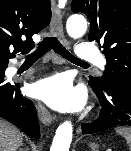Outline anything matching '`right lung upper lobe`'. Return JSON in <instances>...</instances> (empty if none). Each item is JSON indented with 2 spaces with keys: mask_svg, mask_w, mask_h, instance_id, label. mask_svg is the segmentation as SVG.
<instances>
[{
  "mask_svg": "<svg viewBox=\"0 0 131 151\" xmlns=\"http://www.w3.org/2000/svg\"><path fill=\"white\" fill-rule=\"evenodd\" d=\"M50 18L49 0H0V62L28 53L34 47L32 36L45 28Z\"/></svg>",
  "mask_w": 131,
  "mask_h": 151,
  "instance_id": "right-lung-upper-lobe-1",
  "label": "right lung upper lobe"
}]
</instances>
